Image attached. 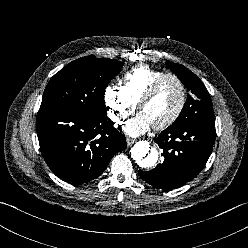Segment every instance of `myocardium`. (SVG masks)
<instances>
[{"mask_svg": "<svg viewBox=\"0 0 248 248\" xmlns=\"http://www.w3.org/2000/svg\"><path fill=\"white\" fill-rule=\"evenodd\" d=\"M167 78H172L178 83L181 93L180 103L175 112L170 117H168L163 122L152 126L155 130H163L172 125L182 114L187 101V90L182 79L176 74L164 73L161 76L157 77L144 92L137 104L138 109L141 111L142 107L154 96L160 84Z\"/></svg>", "mask_w": 248, "mask_h": 248, "instance_id": "myocardium-1", "label": "myocardium"}]
</instances>
